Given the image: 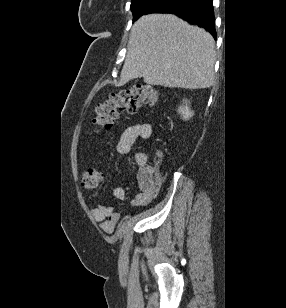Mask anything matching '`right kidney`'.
<instances>
[{"label":"right kidney","mask_w":286,"mask_h":308,"mask_svg":"<svg viewBox=\"0 0 286 308\" xmlns=\"http://www.w3.org/2000/svg\"><path fill=\"white\" fill-rule=\"evenodd\" d=\"M178 113L185 121L189 120L194 115V112L191 111L186 101H184V103L178 108Z\"/></svg>","instance_id":"right-kidney-1"}]
</instances>
